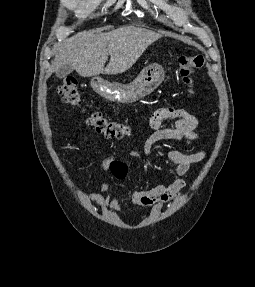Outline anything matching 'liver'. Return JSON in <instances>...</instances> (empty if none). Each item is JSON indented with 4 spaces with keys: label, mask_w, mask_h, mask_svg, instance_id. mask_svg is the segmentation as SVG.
Masks as SVG:
<instances>
[{
    "label": "liver",
    "mask_w": 255,
    "mask_h": 287,
    "mask_svg": "<svg viewBox=\"0 0 255 287\" xmlns=\"http://www.w3.org/2000/svg\"><path fill=\"white\" fill-rule=\"evenodd\" d=\"M161 34L145 28H117L112 32H81L65 40L63 48L57 50L55 68L72 66L79 76L91 78L99 74H123L139 60L143 52ZM108 66L104 68L107 58Z\"/></svg>",
    "instance_id": "1"
}]
</instances>
